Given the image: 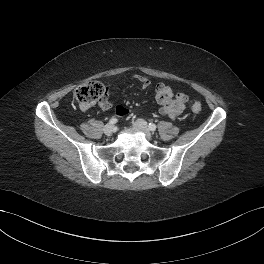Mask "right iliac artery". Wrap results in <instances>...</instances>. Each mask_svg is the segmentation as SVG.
Wrapping results in <instances>:
<instances>
[{"mask_svg":"<svg viewBox=\"0 0 264 264\" xmlns=\"http://www.w3.org/2000/svg\"><path fill=\"white\" fill-rule=\"evenodd\" d=\"M118 120L116 118H111L109 124H115Z\"/></svg>","mask_w":264,"mask_h":264,"instance_id":"1","label":"right iliac artery"}]
</instances>
